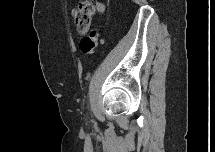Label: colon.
I'll return each instance as SVG.
<instances>
[{
    "instance_id": "5ec220e1",
    "label": "colon",
    "mask_w": 215,
    "mask_h": 152,
    "mask_svg": "<svg viewBox=\"0 0 215 152\" xmlns=\"http://www.w3.org/2000/svg\"><path fill=\"white\" fill-rule=\"evenodd\" d=\"M92 15L93 3L91 1L80 2L75 14V23L79 32L84 33L89 29ZM101 41L102 38L99 30L94 29L88 36L81 39L80 50L86 55H92Z\"/></svg>"
}]
</instances>
